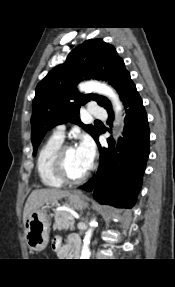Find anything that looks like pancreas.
<instances>
[{"mask_svg":"<svg viewBox=\"0 0 175 287\" xmlns=\"http://www.w3.org/2000/svg\"><path fill=\"white\" fill-rule=\"evenodd\" d=\"M55 223L53 229L56 230H74V220H71L69 217L72 216L70 212L66 210H61L55 213Z\"/></svg>","mask_w":175,"mask_h":287,"instance_id":"cf45deb5","label":"pancreas"}]
</instances>
